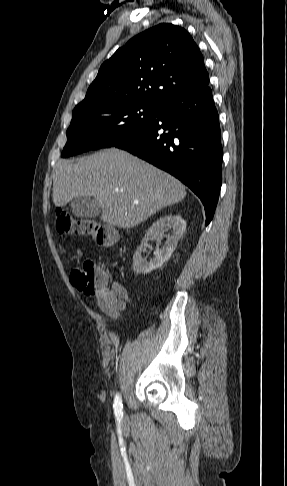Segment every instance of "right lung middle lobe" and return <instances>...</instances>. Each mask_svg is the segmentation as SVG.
<instances>
[{
  "instance_id": "obj_1",
  "label": "right lung middle lobe",
  "mask_w": 287,
  "mask_h": 486,
  "mask_svg": "<svg viewBox=\"0 0 287 486\" xmlns=\"http://www.w3.org/2000/svg\"><path fill=\"white\" fill-rule=\"evenodd\" d=\"M149 100H115L73 112L62 157L113 147L138 135L158 115Z\"/></svg>"
}]
</instances>
